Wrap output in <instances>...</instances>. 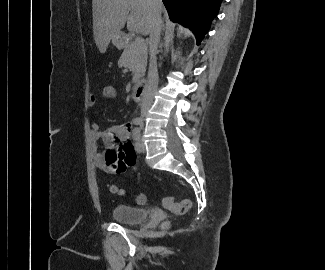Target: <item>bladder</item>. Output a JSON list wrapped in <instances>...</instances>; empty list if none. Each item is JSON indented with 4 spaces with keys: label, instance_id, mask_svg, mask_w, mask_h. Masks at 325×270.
<instances>
[{
    "label": "bladder",
    "instance_id": "31cf9c89",
    "mask_svg": "<svg viewBox=\"0 0 325 270\" xmlns=\"http://www.w3.org/2000/svg\"><path fill=\"white\" fill-rule=\"evenodd\" d=\"M149 216V210L125 203H118L111 212V217L115 222L129 226L140 225L144 223Z\"/></svg>",
    "mask_w": 325,
    "mask_h": 270
}]
</instances>
